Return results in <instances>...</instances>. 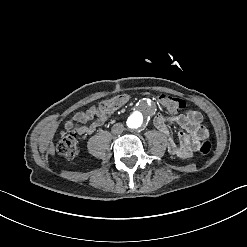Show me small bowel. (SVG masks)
Instances as JSON below:
<instances>
[{"label":"small bowel","mask_w":247,"mask_h":247,"mask_svg":"<svg viewBox=\"0 0 247 247\" xmlns=\"http://www.w3.org/2000/svg\"><path fill=\"white\" fill-rule=\"evenodd\" d=\"M107 119L108 113L101 106H92L85 111L76 112L65 122L64 127L78 135H88L103 126ZM92 120L90 125H85ZM168 122L178 124L183 131L174 135L168 127ZM153 123L166 136L168 152L181 159H188L197 152L200 149L201 141L207 136V130L202 125V115L197 110H189L169 117L157 114Z\"/></svg>","instance_id":"small-bowel-1"}]
</instances>
